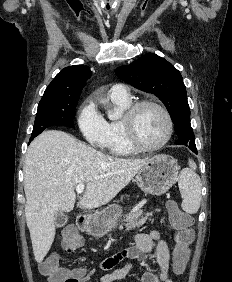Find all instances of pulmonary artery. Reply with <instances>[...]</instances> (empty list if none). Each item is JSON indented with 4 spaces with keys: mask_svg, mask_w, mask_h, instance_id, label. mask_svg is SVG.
Returning <instances> with one entry per match:
<instances>
[{
    "mask_svg": "<svg viewBox=\"0 0 232 282\" xmlns=\"http://www.w3.org/2000/svg\"><path fill=\"white\" fill-rule=\"evenodd\" d=\"M110 96L114 98L120 99H128L130 98L128 88L123 84H115L110 89Z\"/></svg>",
    "mask_w": 232,
    "mask_h": 282,
    "instance_id": "pulmonary-artery-1",
    "label": "pulmonary artery"
}]
</instances>
